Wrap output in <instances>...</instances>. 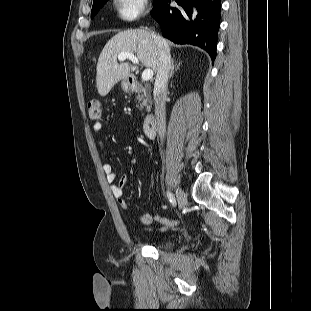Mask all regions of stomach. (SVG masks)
Wrapping results in <instances>:
<instances>
[{"instance_id": "obj_1", "label": "stomach", "mask_w": 311, "mask_h": 311, "mask_svg": "<svg viewBox=\"0 0 311 311\" xmlns=\"http://www.w3.org/2000/svg\"><path fill=\"white\" fill-rule=\"evenodd\" d=\"M121 89L124 91V92H129L130 89H131V83L129 81V78H126V79H123L121 81Z\"/></svg>"}]
</instances>
